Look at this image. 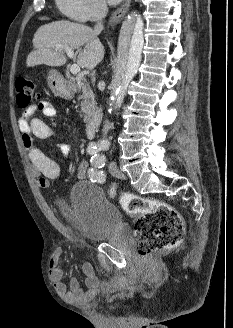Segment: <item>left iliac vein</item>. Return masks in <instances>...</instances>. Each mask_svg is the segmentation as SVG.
<instances>
[{
	"mask_svg": "<svg viewBox=\"0 0 233 328\" xmlns=\"http://www.w3.org/2000/svg\"><path fill=\"white\" fill-rule=\"evenodd\" d=\"M109 171L116 178H125L124 174L121 172V170L118 168L117 164L114 161H111L109 163Z\"/></svg>",
	"mask_w": 233,
	"mask_h": 328,
	"instance_id": "left-iliac-vein-1",
	"label": "left iliac vein"
}]
</instances>
